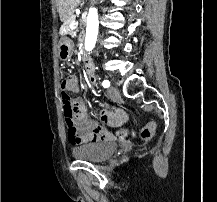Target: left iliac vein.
<instances>
[{"mask_svg": "<svg viewBox=\"0 0 217 202\" xmlns=\"http://www.w3.org/2000/svg\"><path fill=\"white\" fill-rule=\"evenodd\" d=\"M108 96L112 99H116L120 97V92L118 91V89L114 86H111L108 89Z\"/></svg>", "mask_w": 217, "mask_h": 202, "instance_id": "1", "label": "left iliac vein"}]
</instances>
